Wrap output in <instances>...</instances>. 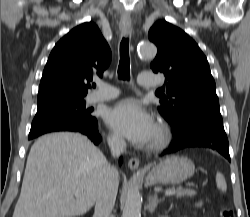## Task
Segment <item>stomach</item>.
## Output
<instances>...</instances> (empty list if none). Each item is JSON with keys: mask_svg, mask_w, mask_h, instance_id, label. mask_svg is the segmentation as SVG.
I'll return each mask as SVG.
<instances>
[{"mask_svg": "<svg viewBox=\"0 0 250 217\" xmlns=\"http://www.w3.org/2000/svg\"><path fill=\"white\" fill-rule=\"evenodd\" d=\"M194 172L195 165L190 159L171 156L154 166L146 179L152 184H179L189 179Z\"/></svg>", "mask_w": 250, "mask_h": 217, "instance_id": "1", "label": "stomach"}]
</instances>
